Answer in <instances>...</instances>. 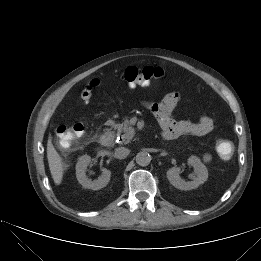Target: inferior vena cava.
<instances>
[{"label": "inferior vena cava", "mask_w": 261, "mask_h": 261, "mask_svg": "<svg viewBox=\"0 0 261 261\" xmlns=\"http://www.w3.org/2000/svg\"><path fill=\"white\" fill-rule=\"evenodd\" d=\"M130 153V150L125 147H119L115 150L114 156L118 159L126 158Z\"/></svg>", "instance_id": "inferior-vena-cava-1"}]
</instances>
